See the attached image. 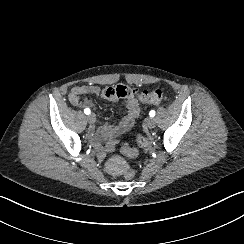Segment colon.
Masks as SVG:
<instances>
[{
    "instance_id": "obj_1",
    "label": "colon",
    "mask_w": 244,
    "mask_h": 244,
    "mask_svg": "<svg viewBox=\"0 0 244 244\" xmlns=\"http://www.w3.org/2000/svg\"><path fill=\"white\" fill-rule=\"evenodd\" d=\"M106 98L111 100L121 99L127 96H132L136 98L139 102L146 105H159L163 101V92L159 88H151L143 91H139L131 86L124 84H117L114 86L107 87L104 91ZM137 145L147 150L151 146V141L147 134L142 133L136 137ZM122 144V139L120 137L110 138L107 141L105 151L115 152L118 146ZM121 153L124 156H129L131 158H137L140 155V150L137 147H131L129 145H124L121 148ZM123 174L127 178H131L134 174L132 168L127 167L124 169Z\"/></svg>"
}]
</instances>
